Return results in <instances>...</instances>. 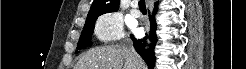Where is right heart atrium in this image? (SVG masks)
I'll list each match as a JSON object with an SVG mask.
<instances>
[{
  "label": "right heart atrium",
  "mask_w": 246,
  "mask_h": 69,
  "mask_svg": "<svg viewBox=\"0 0 246 69\" xmlns=\"http://www.w3.org/2000/svg\"><path fill=\"white\" fill-rule=\"evenodd\" d=\"M94 34L102 42L120 40L124 36L121 16L114 12L101 15L94 25Z\"/></svg>",
  "instance_id": "obj_1"
}]
</instances>
